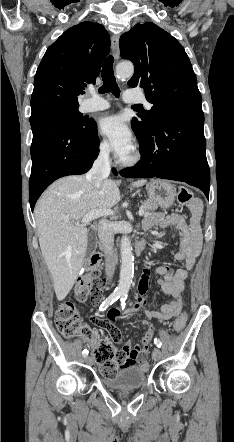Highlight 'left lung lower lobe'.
Returning a JSON list of instances; mask_svg holds the SVG:
<instances>
[{"instance_id":"0a47b994","label":"left lung lower lobe","mask_w":234,"mask_h":442,"mask_svg":"<svg viewBox=\"0 0 234 442\" xmlns=\"http://www.w3.org/2000/svg\"><path fill=\"white\" fill-rule=\"evenodd\" d=\"M203 126L202 109L179 111L159 121L145 142H139L141 160L120 174L184 181L199 187L209 198L210 171Z\"/></svg>"}]
</instances>
